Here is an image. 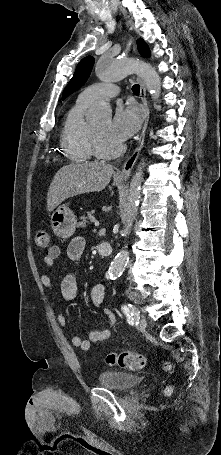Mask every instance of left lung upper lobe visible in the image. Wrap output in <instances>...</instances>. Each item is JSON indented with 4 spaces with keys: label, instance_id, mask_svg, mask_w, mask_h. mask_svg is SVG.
Here are the masks:
<instances>
[{
    "label": "left lung upper lobe",
    "instance_id": "left-lung-upper-lobe-1",
    "mask_svg": "<svg viewBox=\"0 0 221 455\" xmlns=\"http://www.w3.org/2000/svg\"><path fill=\"white\" fill-rule=\"evenodd\" d=\"M137 46L140 54L143 57H149L150 51L146 43L142 39L137 40ZM94 65V58L87 56L83 58L77 65L76 71L65 87L62 95V99H65L68 95L78 90L87 80Z\"/></svg>",
    "mask_w": 221,
    "mask_h": 455
}]
</instances>
